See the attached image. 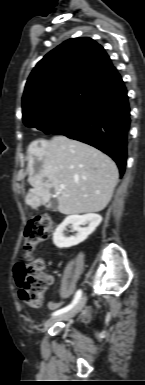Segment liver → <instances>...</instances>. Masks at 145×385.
<instances>
[{"label": "liver", "mask_w": 145, "mask_h": 385, "mask_svg": "<svg viewBox=\"0 0 145 385\" xmlns=\"http://www.w3.org/2000/svg\"><path fill=\"white\" fill-rule=\"evenodd\" d=\"M28 161L32 189L25 201L32 208L49 203L54 189L60 213L99 212L110 202L118 182V169L110 157L63 135L31 142ZM60 184L65 188L60 189Z\"/></svg>", "instance_id": "1"}]
</instances>
